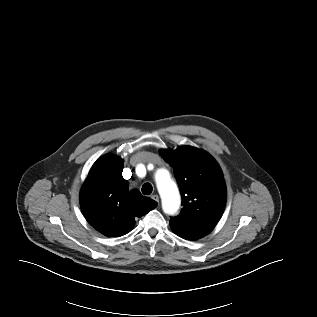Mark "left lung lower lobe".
Returning a JSON list of instances; mask_svg holds the SVG:
<instances>
[{"label":"left lung lower lobe","instance_id":"1","mask_svg":"<svg viewBox=\"0 0 317 317\" xmlns=\"http://www.w3.org/2000/svg\"><path fill=\"white\" fill-rule=\"evenodd\" d=\"M178 229L174 231L182 238L189 240H196L204 237L212 231L211 227L191 226L185 224H178Z\"/></svg>","mask_w":317,"mask_h":317}]
</instances>
